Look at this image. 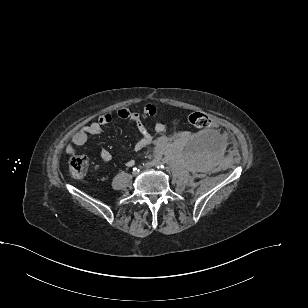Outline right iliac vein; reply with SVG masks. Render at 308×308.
<instances>
[{"mask_svg": "<svg viewBox=\"0 0 308 308\" xmlns=\"http://www.w3.org/2000/svg\"><path fill=\"white\" fill-rule=\"evenodd\" d=\"M137 174H138V172H136V171H133V172H132V175H133V176H136Z\"/></svg>", "mask_w": 308, "mask_h": 308, "instance_id": "63e3f726", "label": "right iliac vein"}]
</instances>
